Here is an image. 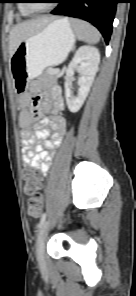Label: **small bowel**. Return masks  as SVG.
<instances>
[{
  "label": "small bowel",
  "mask_w": 136,
  "mask_h": 296,
  "mask_svg": "<svg viewBox=\"0 0 136 296\" xmlns=\"http://www.w3.org/2000/svg\"><path fill=\"white\" fill-rule=\"evenodd\" d=\"M21 105L18 122L23 142L22 163L46 175L66 131V119L61 114L64 109L61 90L51 86L39 97L23 95ZM45 112L49 116H43Z\"/></svg>",
  "instance_id": "c3829d8e"
}]
</instances>
